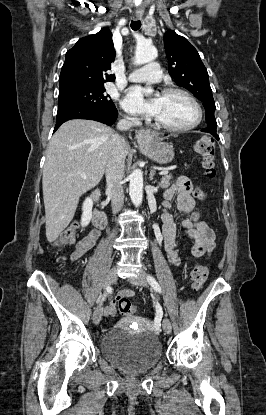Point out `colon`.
I'll use <instances>...</instances> for the list:
<instances>
[{
	"instance_id": "5ec220e1",
	"label": "colon",
	"mask_w": 266,
	"mask_h": 415,
	"mask_svg": "<svg viewBox=\"0 0 266 415\" xmlns=\"http://www.w3.org/2000/svg\"><path fill=\"white\" fill-rule=\"evenodd\" d=\"M194 150L202 157V167L207 177L213 179L216 175L214 154L215 143L211 137H202L194 144ZM199 199H204L205 194L202 190L197 189L195 192ZM78 224L73 223L66 228L59 236L57 245H70L76 241ZM209 270L203 264H196L191 273L190 279L192 287L195 290L200 289L208 278ZM118 309L122 315L130 316L136 312V307L126 297L118 300Z\"/></svg>"
}]
</instances>
